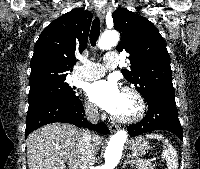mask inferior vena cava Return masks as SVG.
<instances>
[{
    "instance_id": "inferior-vena-cava-1",
    "label": "inferior vena cava",
    "mask_w": 200,
    "mask_h": 169,
    "mask_svg": "<svg viewBox=\"0 0 200 169\" xmlns=\"http://www.w3.org/2000/svg\"><path fill=\"white\" fill-rule=\"evenodd\" d=\"M87 119L96 124L99 121L98 108L94 105H88L85 109ZM82 155L80 159V169H91L95 164V148L93 134L89 130L83 131L82 135Z\"/></svg>"
}]
</instances>
